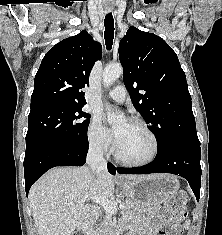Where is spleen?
<instances>
[{
    "mask_svg": "<svg viewBox=\"0 0 222 235\" xmlns=\"http://www.w3.org/2000/svg\"><path fill=\"white\" fill-rule=\"evenodd\" d=\"M189 225H190V220H187V221L185 222V228H188Z\"/></svg>",
    "mask_w": 222,
    "mask_h": 235,
    "instance_id": "3e777b00",
    "label": "spleen"
}]
</instances>
